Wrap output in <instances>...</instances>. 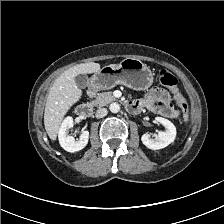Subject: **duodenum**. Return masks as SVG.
<instances>
[{"mask_svg":"<svg viewBox=\"0 0 224 224\" xmlns=\"http://www.w3.org/2000/svg\"><path fill=\"white\" fill-rule=\"evenodd\" d=\"M92 95H93V91L89 90L88 96L91 97ZM127 109L131 113H137L142 110L141 106L135 101L129 102L127 104ZM91 111H92V105L90 102L82 103L76 108V113L81 118L88 117L91 114Z\"/></svg>","mask_w":224,"mask_h":224,"instance_id":"obj_1","label":"duodenum"}]
</instances>
